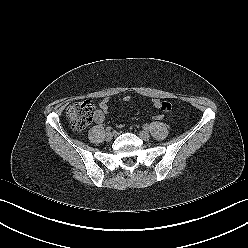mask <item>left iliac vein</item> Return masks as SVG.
<instances>
[{
	"label": "left iliac vein",
	"mask_w": 248,
	"mask_h": 248,
	"mask_svg": "<svg viewBox=\"0 0 248 248\" xmlns=\"http://www.w3.org/2000/svg\"><path fill=\"white\" fill-rule=\"evenodd\" d=\"M139 136L144 140V141H149L150 140V134L147 131H140Z\"/></svg>",
	"instance_id": "4c4485c4"
}]
</instances>
